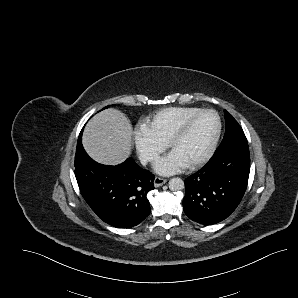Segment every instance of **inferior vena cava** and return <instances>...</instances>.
Segmentation results:
<instances>
[{"label": "inferior vena cava", "mask_w": 298, "mask_h": 298, "mask_svg": "<svg viewBox=\"0 0 298 298\" xmlns=\"http://www.w3.org/2000/svg\"><path fill=\"white\" fill-rule=\"evenodd\" d=\"M154 155L149 154V153H142L139 156L140 162L142 165H146L147 162L153 160Z\"/></svg>", "instance_id": "inferior-vena-cava-1"}]
</instances>
